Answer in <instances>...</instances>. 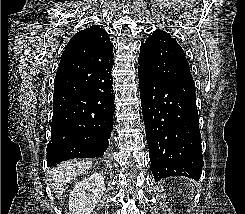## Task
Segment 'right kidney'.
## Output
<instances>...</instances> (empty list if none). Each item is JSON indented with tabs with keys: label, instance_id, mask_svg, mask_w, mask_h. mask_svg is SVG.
I'll list each match as a JSON object with an SVG mask.
<instances>
[{
	"label": "right kidney",
	"instance_id": "1",
	"mask_svg": "<svg viewBox=\"0 0 245 214\" xmlns=\"http://www.w3.org/2000/svg\"><path fill=\"white\" fill-rule=\"evenodd\" d=\"M104 177L99 173L78 182L69 196V214H91L104 191Z\"/></svg>",
	"mask_w": 245,
	"mask_h": 214
}]
</instances>
